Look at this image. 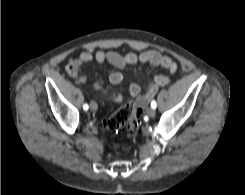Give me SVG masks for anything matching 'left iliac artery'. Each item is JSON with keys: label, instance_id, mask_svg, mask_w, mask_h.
<instances>
[{"label": "left iliac artery", "instance_id": "44dca946", "mask_svg": "<svg viewBox=\"0 0 245 195\" xmlns=\"http://www.w3.org/2000/svg\"><path fill=\"white\" fill-rule=\"evenodd\" d=\"M156 107H157L156 101L153 100V101L151 102V108L155 109Z\"/></svg>", "mask_w": 245, "mask_h": 195}]
</instances>
